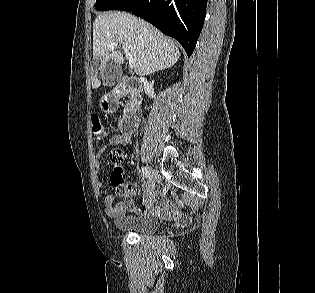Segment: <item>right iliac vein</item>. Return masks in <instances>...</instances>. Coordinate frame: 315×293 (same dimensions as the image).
Instances as JSON below:
<instances>
[{
  "instance_id": "right-iliac-vein-1",
  "label": "right iliac vein",
  "mask_w": 315,
  "mask_h": 293,
  "mask_svg": "<svg viewBox=\"0 0 315 293\" xmlns=\"http://www.w3.org/2000/svg\"><path fill=\"white\" fill-rule=\"evenodd\" d=\"M150 180L148 182V192L145 195V200L148 199L150 193L154 190L155 188V181L158 178V174L155 170H153L152 168L150 169Z\"/></svg>"
}]
</instances>
